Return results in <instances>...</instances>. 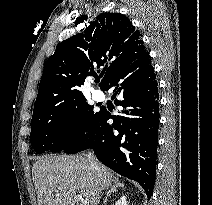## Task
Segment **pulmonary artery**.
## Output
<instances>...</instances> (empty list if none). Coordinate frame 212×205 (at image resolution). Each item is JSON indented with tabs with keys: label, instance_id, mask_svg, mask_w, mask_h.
I'll return each instance as SVG.
<instances>
[{
	"label": "pulmonary artery",
	"instance_id": "1",
	"mask_svg": "<svg viewBox=\"0 0 212 205\" xmlns=\"http://www.w3.org/2000/svg\"><path fill=\"white\" fill-rule=\"evenodd\" d=\"M93 97L97 101H101L104 99V94L100 90H94L93 91Z\"/></svg>",
	"mask_w": 212,
	"mask_h": 205
}]
</instances>
